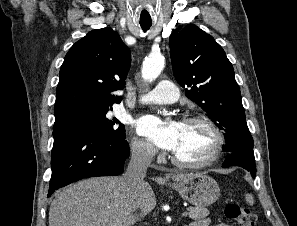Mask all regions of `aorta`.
Instances as JSON below:
<instances>
[{
    "label": "aorta",
    "instance_id": "obj_1",
    "mask_svg": "<svg viewBox=\"0 0 297 226\" xmlns=\"http://www.w3.org/2000/svg\"><path fill=\"white\" fill-rule=\"evenodd\" d=\"M165 59L162 55H150L148 56L142 66V77L145 80L153 81L155 80L161 73L164 68Z\"/></svg>",
    "mask_w": 297,
    "mask_h": 226
}]
</instances>
